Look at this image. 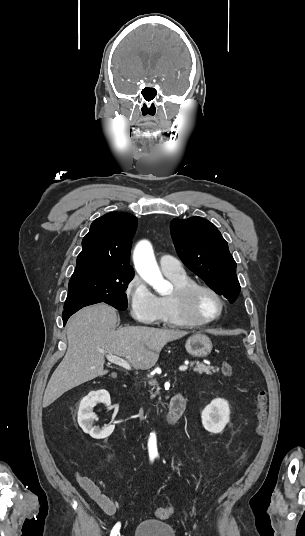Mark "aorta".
Instances as JSON below:
<instances>
[{
	"instance_id": "762f6f07",
	"label": "aorta",
	"mask_w": 305,
	"mask_h": 536,
	"mask_svg": "<svg viewBox=\"0 0 305 536\" xmlns=\"http://www.w3.org/2000/svg\"><path fill=\"white\" fill-rule=\"evenodd\" d=\"M133 261L138 274L156 292L164 294L169 290L170 283L163 278L149 241L143 240L136 245Z\"/></svg>"
}]
</instances>
